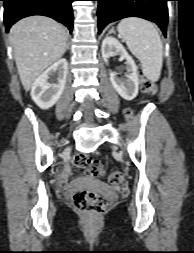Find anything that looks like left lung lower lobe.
Segmentation results:
<instances>
[{
	"label": "left lung lower lobe",
	"mask_w": 194,
	"mask_h": 253,
	"mask_svg": "<svg viewBox=\"0 0 194 253\" xmlns=\"http://www.w3.org/2000/svg\"><path fill=\"white\" fill-rule=\"evenodd\" d=\"M98 1V32L110 22L140 17L155 22L166 37L169 0H96Z\"/></svg>",
	"instance_id": "1"
}]
</instances>
